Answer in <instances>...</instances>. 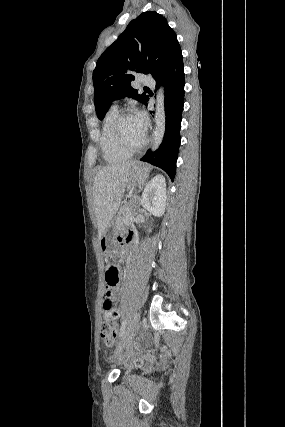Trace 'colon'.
Listing matches in <instances>:
<instances>
[{
	"label": "colon",
	"mask_w": 285,
	"mask_h": 427,
	"mask_svg": "<svg viewBox=\"0 0 285 427\" xmlns=\"http://www.w3.org/2000/svg\"><path fill=\"white\" fill-rule=\"evenodd\" d=\"M120 280V270L116 265H108L105 270V285L106 293L110 294ZM118 313L114 309L111 303H107L106 310L104 312V323L101 328V339L107 344L111 345L118 336L117 328ZM166 360V356L163 357ZM142 361H138V365H142Z\"/></svg>",
	"instance_id": "colon-1"
}]
</instances>
